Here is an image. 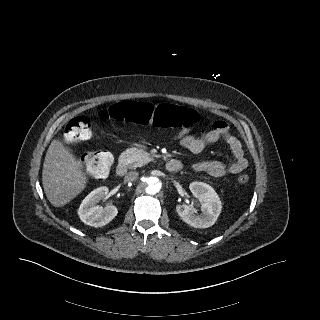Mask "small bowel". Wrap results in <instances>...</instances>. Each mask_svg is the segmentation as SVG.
Masks as SVG:
<instances>
[{
  "instance_id": "small-bowel-1",
  "label": "small bowel",
  "mask_w": 320,
  "mask_h": 320,
  "mask_svg": "<svg viewBox=\"0 0 320 320\" xmlns=\"http://www.w3.org/2000/svg\"><path fill=\"white\" fill-rule=\"evenodd\" d=\"M179 143L193 154L201 153L208 145L224 140L231 150L234 161L224 163L218 160L201 161L193 165L196 172H205L213 177H223L227 174H238L248 166V160L240 140L230 133L228 125L224 121H216L213 128L202 134H190L187 128L178 133Z\"/></svg>"
}]
</instances>
